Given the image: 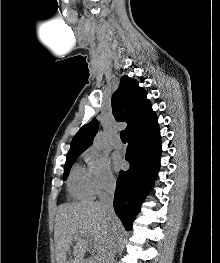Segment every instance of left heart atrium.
Instances as JSON below:
<instances>
[{"label":"left heart atrium","mask_w":220,"mask_h":263,"mask_svg":"<svg viewBox=\"0 0 220 263\" xmlns=\"http://www.w3.org/2000/svg\"><path fill=\"white\" fill-rule=\"evenodd\" d=\"M113 161L116 170H121L125 167V161L120 155H114Z\"/></svg>","instance_id":"39dd6f15"}]
</instances>
